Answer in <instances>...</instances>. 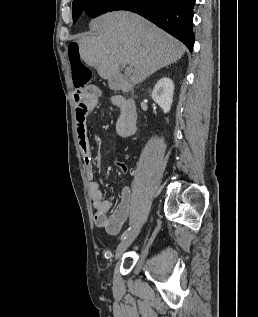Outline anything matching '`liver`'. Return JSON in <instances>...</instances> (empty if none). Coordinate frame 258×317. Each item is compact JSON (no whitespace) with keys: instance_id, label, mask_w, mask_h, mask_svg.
Listing matches in <instances>:
<instances>
[{"instance_id":"obj_1","label":"liver","mask_w":258,"mask_h":317,"mask_svg":"<svg viewBox=\"0 0 258 317\" xmlns=\"http://www.w3.org/2000/svg\"><path fill=\"white\" fill-rule=\"evenodd\" d=\"M89 26L96 34L79 38V54L110 84L119 80L120 64H131L130 82L138 84L155 70L176 62L186 50L177 38L128 10L101 14Z\"/></svg>"}]
</instances>
